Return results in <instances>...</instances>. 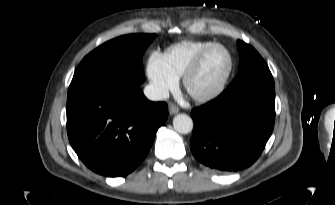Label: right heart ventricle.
Instances as JSON below:
<instances>
[{
	"label": "right heart ventricle",
	"mask_w": 335,
	"mask_h": 205,
	"mask_svg": "<svg viewBox=\"0 0 335 205\" xmlns=\"http://www.w3.org/2000/svg\"><path fill=\"white\" fill-rule=\"evenodd\" d=\"M212 41L184 40L169 46L163 58L168 69L178 78L183 75L195 57Z\"/></svg>",
	"instance_id": "e07e8e85"
}]
</instances>
